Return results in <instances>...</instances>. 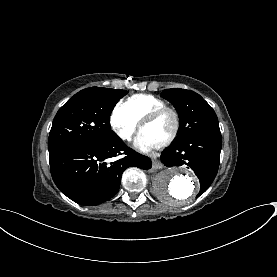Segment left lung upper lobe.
Returning <instances> with one entry per match:
<instances>
[{
    "instance_id": "5c2ea615",
    "label": "left lung upper lobe",
    "mask_w": 277,
    "mask_h": 277,
    "mask_svg": "<svg viewBox=\"0 0 277 277\" xmlns=\"http://www.w3.org/2000/svg\"><path fill=\"white\" fill-rule=\"evenodd\" d=\"M161 97L173 104L180 119L176 141L193 135L218 131V118L212 107L197 93L185 89H165Z\"/></svg>"
}]
</instances>
